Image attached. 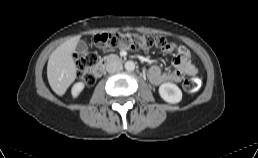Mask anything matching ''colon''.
I'll return each instance as SVG.
<instances>
[{
	"mask_svg": "<svg viewBox=\"0 0 258 158\" xmlns=\"http://www.w3.org/2000/svg\"><path fill=\"white\" fill-rule=\"evenodd\" d=\"M95 45L101 50H108L115 47L123 49H152L159 48L170 51L175 48V43L165 37L149 34L135 33H101L94 37ZM97 62V57L90 52H80L76 56V64L79 77L87 84H92L88 70ZM201 87V80L198 77L187 78L183 88L188 93H195Z\"/></svg>",
	"mask_w": 258,
	"mask_h": 158,
	"instance_id": "5ec220e1",
	"label": "colon"
}]
</instances>
